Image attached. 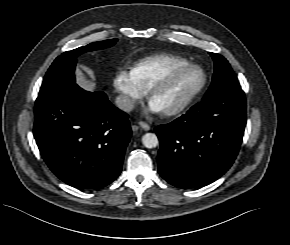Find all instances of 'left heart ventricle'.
Instances as JSON below:
<instances>
[{"label": "left heart ventricle", "mask_w": 290, "mask_h": 245, "mask_svg": "<svg viewBox=\"0 0 290 245\" xmlns=\"http://www.w3.org/2000/svg\"><path fill=\"white\" fill-rule=\"evenodd\" d=\"M201 80L202 75L198 70H187L160 87L151 99L161 107L162 111L171 109L184 101Z\"/></svg>", "instance_id": "left-heart-ventricle-1"}]
</instances>
